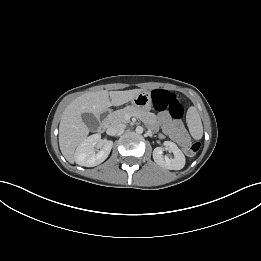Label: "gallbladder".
I'll return each instance as SVG.
<instances>
[{
	"instance_id": "obj_1",
	"label": "gallbladder",
	"mask_w": 261,
	"mask_h": 261,
	"mask_svg": "<svg viewBox=\"0 0 261 261\" xmlns=\"http://www.w3.org/2000/svg\"><path fill=\"white\" fill-rule=\"evenodd\" d=\"M82 120L86 124V126L92 131H96L99 127V121L97 117L91 113H83Z\"/></svg>"
}]
</instances>
